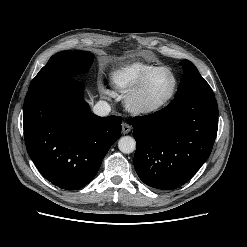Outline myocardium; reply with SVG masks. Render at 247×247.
I'll return each mask as SVG.
<instances>
[{
	"mask_svg": "<svg viewBox=\"0 0 247 247\" xmlns=\"http://www.w3.org/2000/svg\"><path fill=\"white\" fill-rule=\"evenodd\" d=\"M166 71L168 72L172 79H173V86L166 98H164L162 101L155 103V104H145L142 103L139 100V95L140 92L143 88V85L145 84L146 80L148 77L153 74L154 72L157 71ZM178 88V80L173 72V70L167 66H154L148 70H146L139 78L138 80L134 83V85L128 90V92L125 95V106L126 108L134 113V114H139V115H149L156 113L163 108H165L174 98Z\"/></svg>",
	"mask_w": 247,
	"mask_h": 247,
	"instance_id": "1",
	"label": "myocardium"
}]
</instances>
